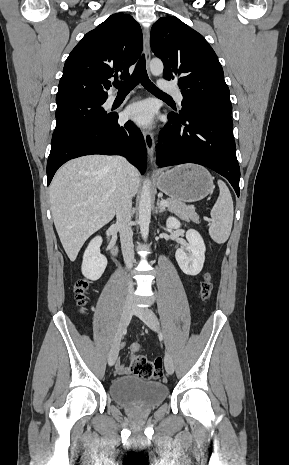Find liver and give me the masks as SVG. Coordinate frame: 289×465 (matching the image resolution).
I'll use <instances>...</instances> for the list:
<instances>
[{"label":"liver","mask_w":289,"mask_h":465,"mask_svg":"<svg viewBox=\"0 0 289 465\" xmlns=\"http://www.w3.org/2000/svg\"><path fill=\"white\" fill-rule=\"evenodd\" d=\"M131 197L138 191L140 175L128 163ZM118 172L112 158L89 155L64 164L50 185V205L62 246L73 262L85 241L110 222L116 213Z\"/></svg>","instance_id":"obj_1"}]
</instances>
